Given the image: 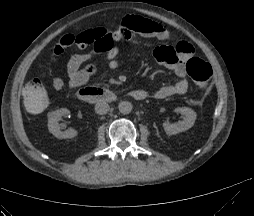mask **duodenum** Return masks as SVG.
Masks as SVG:
<instances>
[{"label":"duodenum","instance_id":"410a0bca","mask_svg":"<svg viewBox=\"0 0 254 216\" xmlns=\"http://www.w3.org/2000/svg\"><path fill=\"white\" fill-rule=\"evenodd\" d=\"M129 95L135 99H141L142 95L133 90ZM78 98L86 102H112L115 101L117 95L110 89L103 87H85L78 91Z\"/></svg>","mask_w":254,"mask_h":216}]
</instances>
